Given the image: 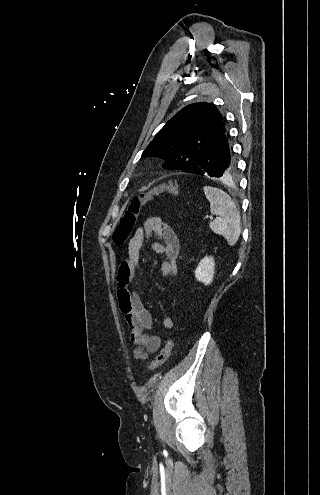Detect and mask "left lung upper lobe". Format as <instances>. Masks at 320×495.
I'll return each mask as SVG.
<instances>
[{
  "label": "left lung upper lobe",
  "instance_id": "obj_1",
  "mask_svg": "<svg viewBox=\"0 0 320 495\" xmlns=\"http://www.w3.org/2000/svg\"><path fill=\"white\" fill-rule=\"evenodd\" d=\"M226 131L218 109L209 103L184 107L155 135L142 157L165 159L163 167L185 170Z\"/></svg>",
  "mask_w": 320,
  "mask_h": 495
}]
</instances>
